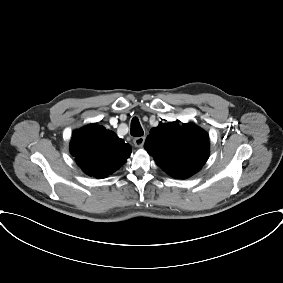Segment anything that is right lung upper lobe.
Here are the masks:
<instances>
[{"label": "right lung upper lobe", "mask_w": 283, "mask_h": 283, "mask_svg": "<svg viewBox=\"0 0 283 283\" xmlns=\"http://www.w3.org/2000/svg\"><path fill=\"white\" fill-rule=\"evenodd\" d=\"M70 151L86 174L105 178L126 162L131 146L113 131L90 124L73 132Z\"/></svg>", "instance_id": "cb5924a9"}]
</instances>
